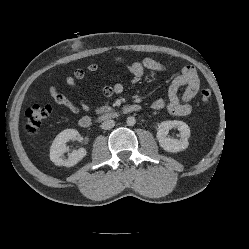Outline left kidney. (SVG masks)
Listing matches in <instances>:
<instances>
[{"label":"left kidney","mask_w":249,"mask_h":249,"mask_svg":"<svg viewBox=\"0 0 249 249\" xmlns=\"http://www.w3.org/2000/svg\"><path fill=\"white\" fill-rule=\"evenodd\" d=\"M176 127L180 132V138L174 139L168 137L169 130ZM190 137L189 126L182 121H163L157 129V139L159 145L167 152H180L186 149L189 145L188 138Z\"/></svg>","instance_id":"obj_1"}]
</instances>
